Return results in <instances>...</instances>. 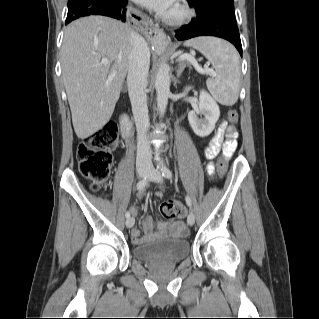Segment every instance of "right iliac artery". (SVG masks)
Masks as SVG:
<instances>
[{
  "label": "right iliac artery",
  "instance_id": "obj_1",
  "mask_svg": "<svg viewBox=\"0 0 319 319\" xmlns=\"http://www.w3.org/2000/svg\"><path fill=\"white\" fill-rule=\"evenodd\" d=\"M151 180V177H145L144 179L140 180L137 184V190L142 191L148 182ZM126 218L130 217V212L127 211L125 213Z\"/></svg>",
  "mask_w": 319,
  "mask_h": 319
}]
</instances>
